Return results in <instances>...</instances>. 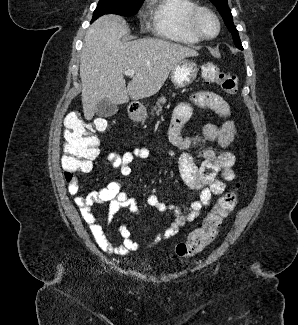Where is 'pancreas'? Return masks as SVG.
Masks as SVG:
<instances>
[{"label":"pancreas","mask_w":298,"mask_h":325,"mask_svg":"<svg viewBox=\"0 0 298 325\" xmlns=\"http://www.w3.org/2000/svg\"><path fill=\"white\" fill-rule=\"evenodd\" d=\"M173 96H175V92H173ZM166 100H167L166 96H160V98H157V102L155 106H153L152 108V114H153V110H155L156 114H160L162 110V104H165Z\"/></svg>","instance_id":"obj_1"}]
</instances>
